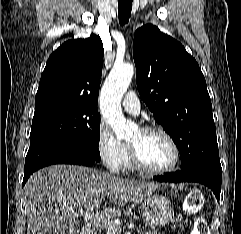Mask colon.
Here are the masks:
<instances>
[{
    "label": "colon",
    "mask_w": 241,
    "mask_h": 234,
    "mask_svg": "<svg viewBox=\"0 0 241 234\" xmlns=\"http://www.w3.org/2000/svg\"><path fill=\"white\" fill-rule=\"evenodd\" d=\"M202 205V193L199 190H194L187 196L184 209L188 214H196L200 211ZM191 234H208L206 223L201 217L196 218Z\"/></svg>",
    "instance_id": "1"
}]
</instances>
